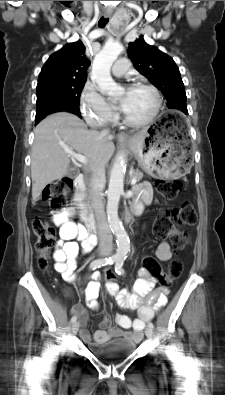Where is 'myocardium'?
<instances>
[{
  "label": "myocardium",
  "instance_id": "myocardium-1",
  "mask_svg": "<svg viewBox=\"0 0 225 395\" xmlns=\"http://www.w3.org/2000/svg\"><path fill=\"white\" fill-rule=\"evenodd\" d=\"M133 88H144L150 91L154 97V106L150 115L146 119L141 121H132L128 119L126 116H124L123 122L130 127H136V128L144 127L152 123L155 120L156 116L158 115L162 104L161 96L158 89L155 86L146 82H137L136 84H134Z\"/></svg>",
  "mask_w": 225,
  "mask_h": 395
}]
</instances>
